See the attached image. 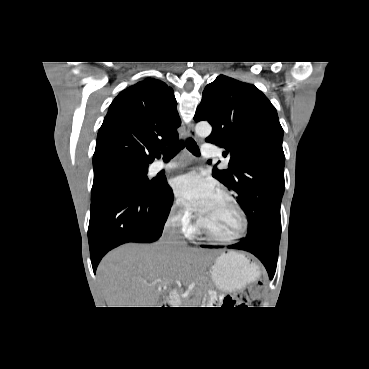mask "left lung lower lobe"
<instances>
[{
    "label": "left lung lower lobe",
    "mask_w": 369,
    "mask_h": 369,
    "mask_svg": "<svg viewBox=\"0 0 369 369\" xmlns=\"http://www.w3.org/2000/svg\"><path fill=\"white\" fill-rule=\"evenodd\" d=\"M279 242L280 236L262 235L255 238H245L237 244L228 246V248L245 250L254 254L264 264L270 279H272L277 265ZM202 247L213 248L214 246L203 245Z\"/></svg>",
    "instance_id": "obj_1"
}]
</instances>
